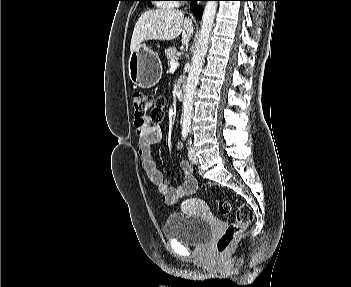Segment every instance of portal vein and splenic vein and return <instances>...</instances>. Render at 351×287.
<instances>
[{"label":"portal vein and splenic vein","mask_w":351,"mask_h":287,"mask_svg":"<svg viewBox=\"0 0 351 287\" xmlns=\"http://www.w3.org/2000/svg\"><path fill=\"white\" fill-rule=\"evenodd\" d=\"M179 66V63L177 60L173 59L171 62H170V67L172 69H176L177 67Z\"/></svg>","instance_id":"1"}]
</instances>
